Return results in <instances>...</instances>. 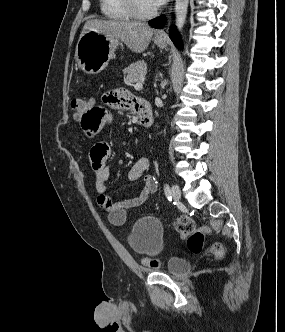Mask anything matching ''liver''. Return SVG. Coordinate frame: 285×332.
<instances>
[{
  "label": "liver",
  "instance_id": "1",
  "mask_svg": "<svg viewBox=\"0 0 285 332\" xmlns=\"http://www.w3.org/2000/svg\"><path fill=\"white\" fill-rule=\"evenodd\" d=\"M90 30L121 40L135 53H142L147 49L154 32L144 23L90 19L85 23L80 37Z\"/></svg>",
  "mask_w": 285,
  "mask_h": 332
}]
</instances>
